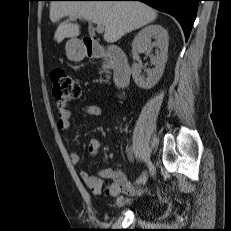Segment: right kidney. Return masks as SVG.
<instances>
[{
  "label": "right kidney",
  "mask_w": 231,
  "mask_h": 231,
  "mask_svg": "<svg viewBox=\"0 0 231 231\" xmlns=\"http://www.w3.org/2000/svg\"><path fill=\"white\" fill-rule=\"evenodd\" d=\"M151 39L155 41L151 42ZM153 47L157 48L156 55H150L154 68L146 70L147 77L141 74V62L132 65L133 80L142 89L152 88L163 75L168 53V32L161 25L146 26L135 36L132 42L134 60L139 61L138 55L142 49L150 52Z\"/></svg>",
  "instance_id": "1"
}]
</instances>
